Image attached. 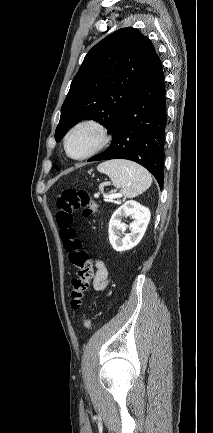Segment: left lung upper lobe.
I'll use <instances>...</instances> for the list:
<instances>
[{
  "instance_id": "1",
  "label": "left lung upper lobe",
  "mask_w": 213,
  "mask_h": 433,
  "mask_svg": "<svg viewBox=\"0 0 213 433\" xmlns=\"http://www.w3.org/2000/svg\"><path fill=\"white\" fill-rule=\"evenodd\" d=\"M157 58L152 42L132 27L119 29L92 47L62 105L56 141L85 119L112 132Z\"/></svg>"
}]
</instances>
